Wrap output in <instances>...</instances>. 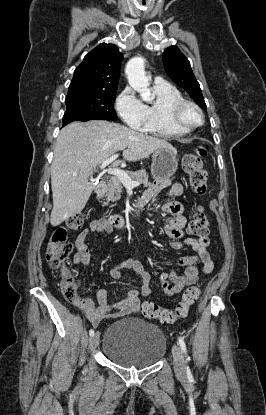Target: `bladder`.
I'll use <instances>...</instances> for the list:
<instances>
[{"instance_id": "1", "label": "bladder", "mask_w": 266, "mask_h": 415, "mask_svg": "<svg viewBox=\"0 0 266 415\" xmlns=\"http://www.w3.org/2000/svg\"><path fill=\"white\" fill-rule=\"evenodd\" d=\"M166 348L162 330L139 317H128L110 324L102 343L103 354L125 368L152 366L163 357Z\"/></svg>"}]
</instances>
